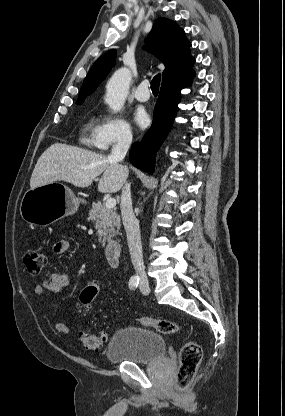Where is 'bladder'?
<instances>
[{"mask_svg":"<svg viewBox=\"0 0 285 416\" xmlns=\"http://www.w3.org/2000/svg\"><path fill=\"white\" fill-rule=\"evenodd\" d=\"M167 354V344L162 334L139 326L116 330L108 346L110 363H151Z\"/></svg>","mask_w":285,"mask_h":416,"instance_id":"bladder-1","label":"bladder"}]
</instances>
